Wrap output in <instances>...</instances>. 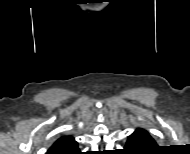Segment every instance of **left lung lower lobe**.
<instances>
[{
  "label": "left lung lower lobe",
  "mask_w": 190,
  "mask_h": 154,
  "mask_svg": "<svg viewBox=\"0 0 190 154\" xmlns=\"http://www.w3.org/2000/svg\"><path fill=\"white\" fill-rule=\"evenodd\" d=\"M155 140L149 135L146 130L136 129V131L128 137L125 150L131 151L130 154H143L146 151L155 147Z\"/></svg>",
  "instance_id": "obj_1"
}]
</instances>
